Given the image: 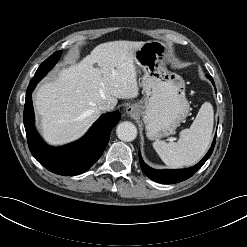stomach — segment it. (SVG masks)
Instances as JSON below:
<instances>
[{"label":"stomach","instance_id":"1","mask_svg":"<svg viewBox=\"0 0 247 247\" xmlns=\"http://www.w3.org/2000/svg\"><path fill=\"white\" fill-rule=\"evenodd\" d=\"M167 48L158 40L145 42L135 51L136 64L143 70L144 99L134 104L150 140L172 134L190 111L183 78L165 65Z\"/></svg>","mask_w":247,"mask_h":247}]
</instances>
